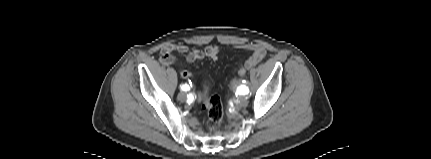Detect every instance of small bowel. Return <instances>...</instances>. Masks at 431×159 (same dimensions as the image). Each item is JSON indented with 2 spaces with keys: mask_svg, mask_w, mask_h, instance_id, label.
Instances as JSON below:
<instances>
[{
  "mask_svg": "<svg viewBox=\"0 0 431 159\" xmlns=\"http://www.w3.org/2000/svg\"><path fill=\"white\" fill-rule=\"evenodd\" d=\"M237 48L243 49V50H249L252 52V55L246 60V62L239 66V67H244L246 71L256 66L258 63H260L266 55L265 48L260 44L246 43V44L238 45ZM173 52L187 53L188 46L183 43L167 44L163 46V48L160 51V57H159L160 63L164 66H170L175 64L176 59L172 54ZM219 52H220L219 47L210 45L203 50L196 49V50L190 51L187 54L186 61L188 63H193L197 60L203 59L204 57H209L213 60H216L218 58Z\"/></svg>",
  "mask_w": 431,
  "mask_h": 159,
  "instance_id": "obj_1",
  "label": "small bowel"
}]
</instances>
